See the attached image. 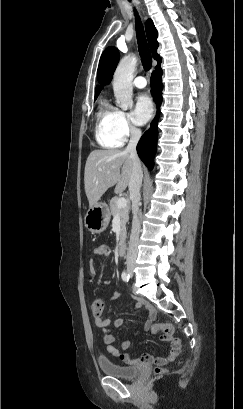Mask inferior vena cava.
I'll use <instances>...</instances> for the list:
<instances>
[{"mask_svg": "<svg viewBox=\"0 0 243 409\" xmlns=\"http://www.w3.org/2000/svg\"><path fill=\"white\" fill-rule=\"evenodd\" d=\"M141 137V130L137 127H131L130 141L126 147V152L130 154L133 162V169L129 180V193L132 201V230L130 235L128 253L126 257L127 264H133L137 258V246L139 240V234L141 230L140 220L138 218L139 202L141 199L140 188L142 185L143 173L141 169V163L137 155L136 146Z\"/></svg>", "mask_w": 243, "mask_h": 409, "instance_id": "obj_1", "label": "inferior vena cava"}]
</instances>
